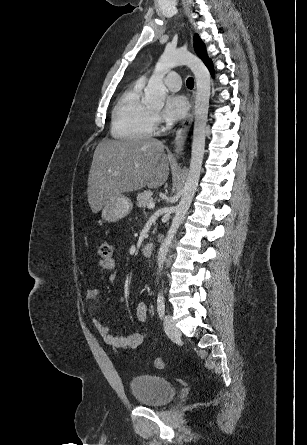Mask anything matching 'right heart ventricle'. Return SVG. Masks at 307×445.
I'll return each mask as SVG.
<instances>
[{
	"label": "right heart ventricle",
	"instance_id": "right-heart-ventricle-1",
	"mask_svg": "<svg viewBox=\"0 0 307 445\" xmlns=\"http://www.w3.org/2000/svg\"><path fill=\"white\" fill-rule=\"evenodd\" d=\"M143 94L141 84L135 83L119 97L112 112L111 134L114 138L148 140L146 136L152 129L151 112Z\"/></svg>",
	"mask_w": 307,
	"mask_h": 445
}]
</instances>
